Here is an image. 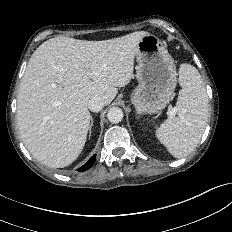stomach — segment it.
<instances>
[{
  "mask_svg": "<svg viewBox=\"0 0 232 232\" xmlns=\"http://www.w3.org/2000/svg\"><path fill=\"white\" fill-rule=\"evenodd\" d=\"M138 86L130 98L138 114H153L171 101L176 84V65L160 39L148 34L138 44L136 54Z\"/></svg>",
  "mask_w": 232,
  "mask_h": 232,
  "instance_id": "0dacf381",
  "label": "stomach"
}]
</instances>
